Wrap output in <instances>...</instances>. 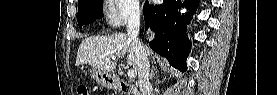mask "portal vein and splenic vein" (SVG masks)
Instances as JSON below:
<instances>
[{"label": "portal vein and splenic vein", "instance_id": "1", "mask_svg": "<svg viewBox=\"0 0 277 95\" xmlns=\"http://www.w3.org/2000/svg\"><path fill=\"white\" fill-rule=\"evenodd\" d=\"M114 60L116 59L115 57L113 58ZM137 75V72L135 70H129L128 71V77L129 78H135Z\"/></svg>", "mask_w": 277, "mask_h": 95}]
</instances>
